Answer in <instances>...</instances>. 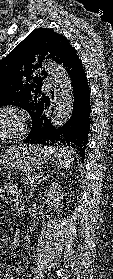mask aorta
<instances>
[{
  "label": "aorta",
  "mask_w": 113,
  "mask_h": 279,
  "mask_svg": "<svg viewBox=\"0 0 113 279\" xmlns=\"http://www.w3.org/2000/svg\"><path fill=\"white\" fill-rule=\"evenodd\" d=\"M44 67L54 88V111L51 123L53 127H59L66 123L73 110L72 82L64 67L53 60L45 61Z\"/></svg>",
  "instance_id": "762f6f07"
}]
</instances>
